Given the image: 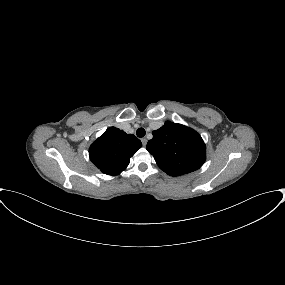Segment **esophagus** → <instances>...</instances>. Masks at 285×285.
I'll use <instances>...</instances> for the list:
<instances>
[{
	"mask_svg": "<svg viewBox=\"0 0 285 285\" xmlns=\"http://www.w3.org/2000/svg\"><path fill=\"white\" fill-rule=\"evenodd\" d=\"M141 142H142L143 146H146V144H147V139H146V138H142V139H141Z\"/></svg>",
	"mask_w": 285,
	"mask_h": 285,
	"instance_id": "34e87169",
	"label": "esophagus"
}]
</instances>
